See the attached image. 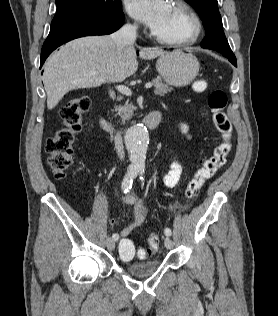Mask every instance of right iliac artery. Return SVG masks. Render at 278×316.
Segmentation results:
<instances>
[{
	"instance_id": "82829eb1",
	"label": "right iliac artery",
	"mask_w": 278,
	"mask_h": 316,
	"mask_svg": "<svg viewBox=\"0 0 278 316\" xmlns=\"http://www.w3.org/2000/svg\"><path fill=\"white\" fill-rule=\"evenodd\" d=\"M139 170L136 167L131 166L127 171L126 175L123 178L121 188L124 193H127L131 187L133 180L137 177ZM112 238L116 241L118 240L119 236L117 234H113Z\"/></svg>"
}]
</instances>
